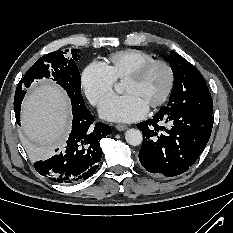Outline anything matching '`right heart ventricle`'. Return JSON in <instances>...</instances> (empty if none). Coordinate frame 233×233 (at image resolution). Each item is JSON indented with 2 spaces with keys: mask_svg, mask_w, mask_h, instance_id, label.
I'll return each mask as SVG.
<instances>
[{
  "mask_svg": "<svg viewBox=\"0 0 233 233\" xmlns=\"http://www.w3.org/2000/svg\"><path fill=\"white\" fill-rule=\"evenodd\" d=\"M153 59L143 50L125 49L110 54L104 65L115 80H124L136 67Z\"/></svg>",
  "mask_w": 233,
  "mask_h": 233,
  "instance_id": "e07e8e85",
  "label": "right heart ventricle"
}]
</instances>
